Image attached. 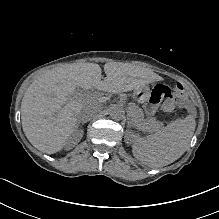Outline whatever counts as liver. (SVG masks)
Segmentation results:
<instances>
[{
  "mask_svg": "<svg viewBox=\"0 0 219 219\" xmlns=\"http://www.w3.org/2000/svg\"><path fill=\"white\" fill-rule=\"evenodd\" d=\"M102 79L99 64H67L41 73L27 88L21 102L22 128L28 141L47 154L57 152L77 124L81 112L94 116L104 100L92 92L84 99L83 90L126 92L151 82L148 69L133 64L107 63Z\"/></svg>",
  "mask_w": 219,
  "mask_h": 219,
  "instance_id": "obj_1",
  "label": "liver"
}]
</instances>
